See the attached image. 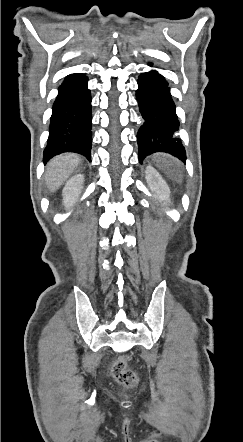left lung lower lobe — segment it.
I'll list each match as a JSON object with an SVG mask.
<instances>
[{
  "label": "left lung lower lobe",
  "mask_w": 243,
  "mask_h": 442,
  "mask_svg": "<svg viewBox=\"0 0 243 442\" xmlns=\"http://www.w3.org/2000/svg\"><path fill=\"white\" fill-rule=\"evenodd\" d=\"M136 96L144 119L137 134L139 161L155 152H166L185 161V149L176 136L179 130L176 106L164 77L156 71L142 73Z\"/></svg>",
  "instance_id": "1"
}]
</instances>
